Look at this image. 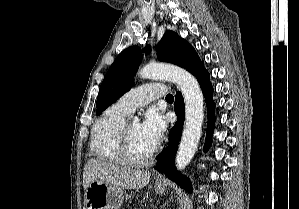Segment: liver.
Wrapping results in <instances>:
<instances>
[{
    "label": "liver",
    "instance_id": "liver-1",
    "mask_svg": "<svg viewBox=\"0 0 299 209\" xmlns=\"http://www.w3.org/2000/svg\"><path fill=\"white\" fill-rule=\"evenodd\" d=\"M151 173L147 170H136L121 167L100 159H90L83 172V187L87 189L93 181H101L122 189H140L150 181Z\"/></svg>",
    "mask_w": 299,
    "mask_h": 209
}]
</instances>
